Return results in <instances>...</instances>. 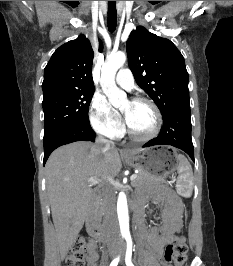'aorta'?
<instances>
[{
	"instance_id": "762f6f07",
	"label": "aorta",
	"mask_w": 233,
	"mask_h": 266,
	"mask_svg": "<svg viewBox=\"0 0 233 266\" xmlns=\"http://www.w3.org/2000/svg\"><path fill=\"white\" fill-rule=\"evenodd\" d=\"M125 61V53L118 52L112 54L106 58L101 70V88L111 104L115 107L120 106L126 98V94L121 91L115 83L116 72L124 65ZM117 214L121 235L124 238L130 237L127 198L124 192H120L118 196Z\"/></svg>"
}]
</instances>
